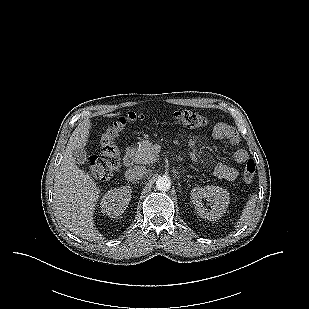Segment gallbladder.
<instances>
[{
	"instance_id": "1",
	"label": "gallbladder",
	"mask_w": 309,
	"mask_h": 309,
	"mask_svg": "<svg viewBox=\"0 0 309 309\" xmlns=\"http://www.w3.org/2000/svg\"><path fill=\"white\" fill-rule=\"evenodd\" d=\"M72 155L77 164H85L87 162L86 151L83 148L74 149Z\"/></svg>"
}]
</instances>
